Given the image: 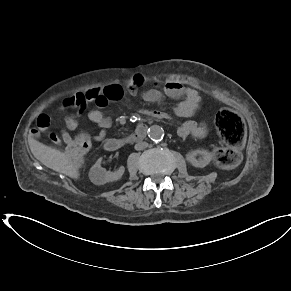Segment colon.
I'll list each match as a JSON object with an SVG mask.
<instances>
[{
	"label": "colon",
	"mask_w": 291,
	"mask_h": 291,
	"mask_svg": "<svg viewBox=\"0 0 291 291\" xmlns=\"http://www.w3.org/2000/svg\"><path fill=\"white\" fill-rule=\"evenodd\" d=\"M58 105L60 107H68L75 105L74 95L63 97ZM49 110L54 108L52 103L47 105ZM216 126L218 132L227 147L217 148L214 150L213 156L215 162L222 167H230L235 165L240 156L239 148L243 145L246 128L241 117L232 110L222 109L216 115ZM51 140L56 138L54 133H50ZM90 146V139L85 133H79L72 137L68 143V152L75 161H79L87 152Z\"/></svg>",
	"instance_id": "1"
}]
</instances>
